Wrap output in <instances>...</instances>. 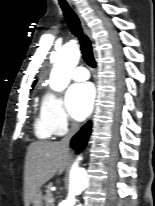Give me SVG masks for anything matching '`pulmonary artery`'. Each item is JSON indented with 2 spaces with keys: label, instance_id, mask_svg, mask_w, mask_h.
Here are the masks:
<instances>
[{
  "label": "pulmonary artery",
  "instance_id": "1",
  "mask_svg": "<svg viewBox=\"0 0 155 206\" xmlns=\"http://www.w3.org/2000/svg\"><path fill=\"white\" fill-rule=\"evenodd\" d=\"M72 78L75 81H84L89 78V73L85 67L80 66L74 70Z\"/></svg>",
  "mask_w": 155,
  "mask_h": 206
}]
</instances>
